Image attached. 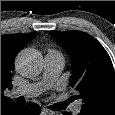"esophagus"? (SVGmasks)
Listing matches in <instances>:
<instances>
[{"label":"esophagus","mask_w":115,"mask_h":115,"mask_svg":"<svg viewBox=\"0 0 115 115\" xmlns=\"http://www.w3.org/2000/svg\"><path fill=\"white\" fill-rule=\"evenodd\" d=\"M42 113L48 114V115H53V114H55L54 111L49 110V109H47V108H42Z\"/></svg>","instance_id":"obj_1"}]
</instances>
